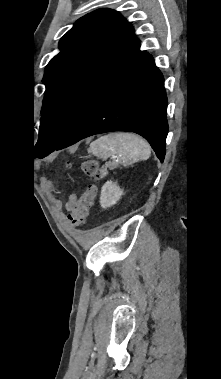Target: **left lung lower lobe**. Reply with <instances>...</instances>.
Wrapping results in <instances>:
<instances>
[{
    "label": "left lung lower lobe",
    "instance_id": "1",
    "mask_svg": "<svg viewBox=\"0 0 221 379\" xmlns=\"http://www.w3.org/2000/svg\"><path fill=\"white\" fill-rule=\"evenodd\" d=\"M167 97L161 72L145 51L102 92L55 149L105 132L129 131L143 136L163 162L168 133Z\"/></svg>",
    "mask_w": 221,
    "mask_h": 379
}]
</instances>
